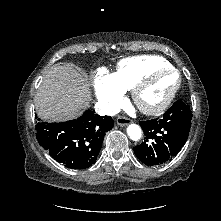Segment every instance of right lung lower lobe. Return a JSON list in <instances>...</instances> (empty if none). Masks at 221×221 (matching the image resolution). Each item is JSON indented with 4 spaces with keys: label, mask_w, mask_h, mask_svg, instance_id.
Segmentation results:
<instances>
[{
    "label": "right lung lower lobe",
    "mask_w": 221,
    "mask_h": 221,
    "mask_svg": "<svg viewBox=\"0 0 221 221\" xmlns=\"http://www.w3.org/2000/svg\"><path fill=\"white\" fill-rule=\"evenodd\" d=\"M114 125L110 116L87 110L75 120L36 125L39 144L56 161L70 169H86L95 163L105 133Z\"/></svg>",
    "instance_id": "1"
}]
</instances>
